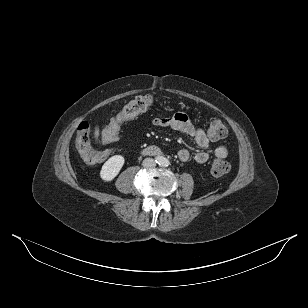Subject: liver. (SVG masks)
<instances>
[{
    "instance_id": "1",
    "label": "liver",
    "mask_w": 308,
    "mask_h": 308,
    "mask_svg": "<svg viewBox=\"0 0 308 308\" xmlns=\"http://www.w3.org/2000/svg\"><path fill=\"white\" fill-rule=\"evenodd\" d=\"M94 134H95V137H96V139H97L98 136H99V129H98V128L95 129V133H94Z\"/></svg>"
}]
</instances>
